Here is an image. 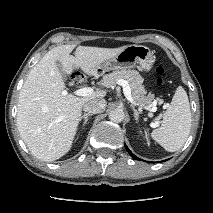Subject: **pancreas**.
<instances>
[{"instance_id":"obj_1","label":"pancreas","mask_w":213,"mask_h":213,"mask_svg":"<svg viewBox=\"0 0 213 213\" xmlns=\"http://www.w3.org/2000/svg\"><path fill=\"white\" fill-rule=\"evenodd\" d=\"M119 79H124L128 82L133 99L142 105H152L154 102V94L149 93L147 96L146 90L142 85L143 78L135 70L114 71L103 76L102 85L107 88H112L117 84Z\"/></svg>"}]
</instances>
